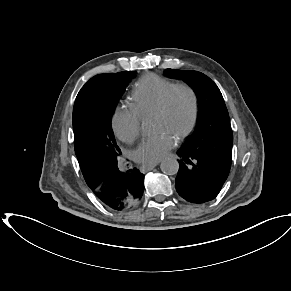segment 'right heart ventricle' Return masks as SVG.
I'll list each match as a JSON object with an SVG mask.
<instances>
[{"mask_svg":"<svg viewBox=\"0 0 291 291\" xmlns=\"http://www.w3.org/2000/svg\"><path fill=\"white\" fill-rule=\"evenodd\" d=\"M174 84L173 81L156 74L145 75L132 90L129 108L140 119L146 118L159 108L165 94Z\"/></svg>","mask_w":291,"mask_h":291,"instance_id":"1","label":"right heart ventricle"}]
</instances>
